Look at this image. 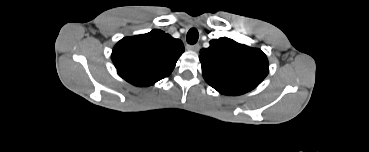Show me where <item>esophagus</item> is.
<instances>
[{"label":"esophagus","mask_w":369,"mask_h":152,"mask_svg":"<svg viewBox=\"0 0 369 152\" xmlns=\"http://www.w3.org/2000/svg\"><path fill=\"white\" fill-rule=\"evenodd\" d=\"M187 49L197 52L200 50V45L199 44L187 45Z\"/></svg>","instance_id":"34e87169"}]
</instances>
